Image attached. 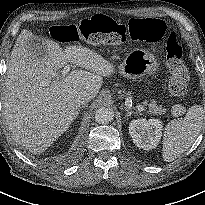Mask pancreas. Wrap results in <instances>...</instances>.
<instances>
[{"label": "pancreas", "instance_id": "cf45deb5", "mask_svg": "<svg viewBox=\"0 0 205 205\" xmlns=\"http://www.w3.org/2000/svg\"><path fill=\"white\" fill-rule=\"evenodd\" d=\"M149 112L154 115H162L166 112V109L162 108V105H156L155 102L149 104Z\"/></svg>", "mask_w": 205, "mask_h": 205}]
</instances>
